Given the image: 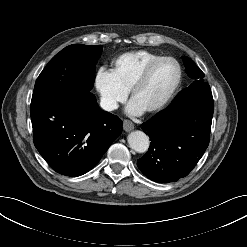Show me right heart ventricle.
Returning <instances> with one entry per match:
<instances>
[{"instance_id": "e07e8e85", "label": "right heart ventricle", "mask_w": 247, "mask_h": 247, "mask_svg": "<svg viewBox=\"0 0 247 247\" xmlns=\"http://www.w3.org/2000/svg\"><path fill=\"white\" fill-rule=\"evenodd\" d=\"M158 57V54L147 50L126 52L113 60L111 73L117 83L129 91L144 67Z\"/></svg>"}]
</instances>
